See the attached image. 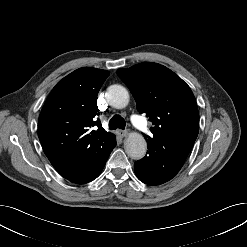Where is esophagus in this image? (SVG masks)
Segmentation results:
<instances>
[{
    "label": "esophagus",
    "mask_w": 247,
    "mask_h": 247,
    "mask_svg": "<svg viewBox=\"0 0 247 247\" xmlns=\"http://www.w3.org/2000/svg\"><path fill=\"white\" fill-rule=\"evenodd\" d=\"M116 134L119 136V137H124L127 135V131L126 130H121V129H118L116 131Z\"/></svg>",
    "instance_id": "esophagus-1"
}]
</instances>
